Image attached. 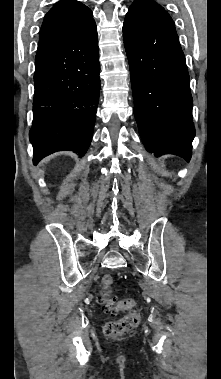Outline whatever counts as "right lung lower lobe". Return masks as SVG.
I'll list each match as a JSON object with an SVG mask.
<instances>
[{
    "instance_id": "98d812e1",
    "label": "right lung lower lobe",
    "mask_w": 221,
    "mask_h": 379,
    "mask_svg": "<svg viewBox=\"0 0 221 379\" xmlns=\"http://www.w3.org/2000/svg\"><path fill=\"white\" fill-rule=\"evenodd\" d=\"M95 21L80 35L37 52L33 125L29 132L36 165L70 150L82 157L92 140L100 92Z\"/></svg>"
}]
</instances>
